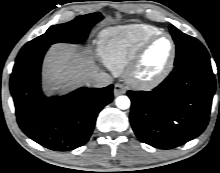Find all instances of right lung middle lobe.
Masks as SVG:
<instances>
[{"mask_svg": "<svg viewBox=\"0 0 220 173\" xmlns=\"http://www.w3.org/2000/svg\"><path fill=\"white\" fill-rule=\"evenodd\" d=\"M102 18V15L97 12L85 16H78L73 21L64 24L54 25L50 27L45 34L25 44L20 50V53L48 47L51 44L58 42H84L92 26Z\"/></svg>", "mask_w": 220, "mask_h": 173, "instance_id": "right-lung-middle-lobe-1", "label": "right lung middle lobe"}]
</instances>
